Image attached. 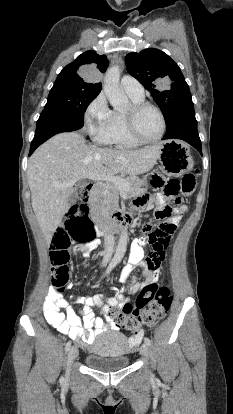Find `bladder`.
<instances>
[{
  "label": "bladder",
  "mask_w": 233,
  "mask_h": 414,
  "mask_svg": "<svg viewBox=\"0 0 233 414\" xmlns=\"http://www.w3.org/2000/svg\"><path fill=\"white\" fill-rule=\"evenodd\" d=\"M127 337L124 333L109 330L94 343L93 351L86 359V365L95 371L111 372L121 370L129 365Z\"/></svg>",
  "instance_id": "1"
}]
</instances>
